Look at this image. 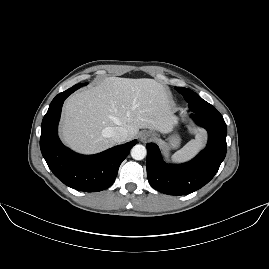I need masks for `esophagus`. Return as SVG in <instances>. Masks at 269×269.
Returning <instances> with one entry per match:
<instances>
[{
    "mask_svg": "<svg viewBox=\"0 0 269 269\" xmlns=\"http://www.w3.org/2000/svg\"><path fill=\"white\" fill-rule=\"evenodd\" d=\"M154 138V133L152 131H144L140 134L139 139L142 142L150 141Z\"/></svg>",
    "mask_w": 269,
    "mask_h": 269,
    "instance_id": "34e87169",
    "label": "esophagus"
}]
</instances>
